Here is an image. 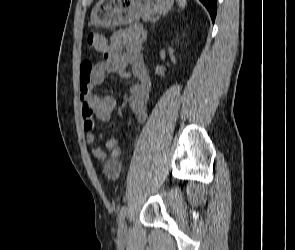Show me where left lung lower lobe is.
<instances>
[{"mask_svg":"<svg viewBox=\"0 0 295 250\" xmlns=\"http://www.w3.org/2000/svg\"><path fill=\"white\" fill-rule=\"evenodd\" d=\"M200 1L207 8L212 18V21L214 22L216 12H217V0H200Z\"/></svg>","mask_w":295,"mask_h":250,"instance_id":"obj_1","label":"left lung lower lobe"}]
</instances>
